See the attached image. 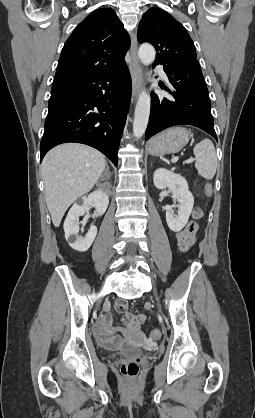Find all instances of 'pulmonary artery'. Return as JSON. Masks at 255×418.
I'll list each match as a JSON object with an SVG mask.
<instances>
[{
	"mask_svg": "<svg viewBox=\"0 0 255 418\" xmlns=\"http://www.w3.org/2000/svg\"><path fill=\"white\" fill-rule=\"evenodd\" d=\"M159 73H160V75H161L162 78H164V79L167 78L165 72L162 69H159Z\"/></svg>",
	"mask_w": 255,
	"mask_h": 418,
	"instance_id": "e3ab8cb5",
	"label": "pulmonary artery"
}]
</instances>
